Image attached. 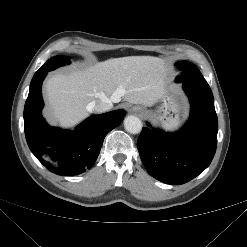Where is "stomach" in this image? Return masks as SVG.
<instances>
[{
	"label": "stomach",
	"instance_id": "0dacf381",
	"mask_svg": "<svg viewBox=\"0 0 247 247\" xmlns=\"http://www.w3.org/2000/svg\"><path fill=\"white\" fill-rule=\"evenodd\" d=\"M163 101H164V103L161 107V109L163 111V115L159 118H160V120H162L163 125L167 129H174L177 126L178 121H177V117L176 116L173 117V115L170 113L171 112H177L179 109V106L176 102L175 97H173V96H165ZM148 114L152 115V113H150V112H148Z\"/></svg>",
	"mask_w": 247,
	"mask_h": 247
}]
</instances>
